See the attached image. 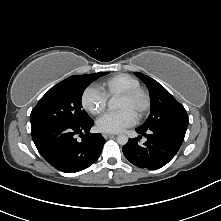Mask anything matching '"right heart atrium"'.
Masks as SVG:
<instances>
[{
  "label": "right heart atrium",
  "instance_id": "right-heart-atrium-1",
  "mask_svg": "<svg viewBox=\"0 0 221 221\" xmlns=\"http://www.w3.org/2000/svg\"><path fill=\"white\" fill-rule=\"evenodd\" d=\"M107 102V96L93 85L87 86L81 94L82 107L93 115L102 113L107 106Z\"/></svg>",
  "mask_w": 221,
  "mask_h": 221
}]
</instances>
